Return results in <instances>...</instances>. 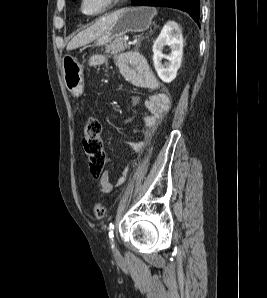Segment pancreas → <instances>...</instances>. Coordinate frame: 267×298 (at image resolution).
Here are the masks:
<instances>
[{
	"label": "pancreas",
	"mask_w": 267,
	"mask_h": 298,
	"mask_svg": "<svg viewBox=\"0 0 267 298\" xmlns=\"http://www.w3.org/2000/svg\"><path fill=\"white\" fill-rule=\"evenodd\" d=\"M129 46L127 45V40L123 37H119L115 39L110 45L105 47L106 52H110L112 54H117L125 51Z\"/></svg>",
	"instance_id": "obj_1"
}]
</instances>
